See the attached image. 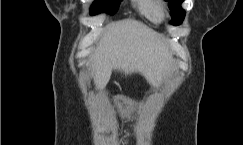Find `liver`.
Wrapping results in <instances>:
<instances>
[{
  "label": "liver",
  "instance_id": "liver-1",
  "mask_svg": "<svg viewBox=\"0 0 243 145\" xmlns=\"http://www.w3.org/2000/svg\"><path fill=\"white\" fill-rule=\"evenodd\" d=\"M173 61L172 53L158 34L132 19L114 23L90 56L94 81L100 89L109 82L113 69L125 75L140 73L154 85Z\"/></svg>",
  "mask_w": 243,
  "mask_h": 145
}]
</instances>
